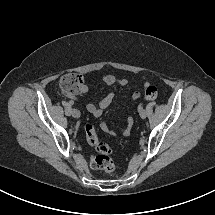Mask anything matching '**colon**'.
<instances>
[{
    "label": "colon",
    "instance_id": "obj_1",
    "mask_svg": "<svg viewBox=\"0 0 215 215\" xmlns=\"http://www.w3.org/2000/svg\"><path fill=\"white\" fill-rule=\"evenodd\" d=\"M59 87L66 94H79L83 91L84 87L83 77L75 72L66 73L61 77ZM144 96L148 100L155 99L158 96V88L155 85H146ZM86 139L88 144L98 153V155L91 157V167L105 173L113 172L115 164L111 158L112 149L98 139L92 124L86 126Z\"/></svg>",
    "mask_w": 215,
    "mask_h": 215
}]
</instances>
